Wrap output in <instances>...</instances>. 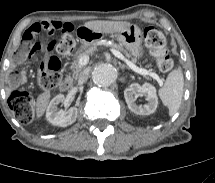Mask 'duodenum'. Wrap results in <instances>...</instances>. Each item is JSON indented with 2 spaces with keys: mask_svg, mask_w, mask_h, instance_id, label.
<instances>
[{
  "mask_svg": "<svg viewBox=\"0 0 215 183\" xmlns=\"http://www.w3.org/2000/svg\"><path fill=\"white\" fill-rule=\"evenodd\" d=\"M72 84V80L68 78L60 82L59 88L61 91H67L72 87Z\"/></svg>",
  "mask_w": 215,
  "mask_h": 183,
  "instance_id": "obj_1",
  "label": "duodenum"
}]
</instances>
